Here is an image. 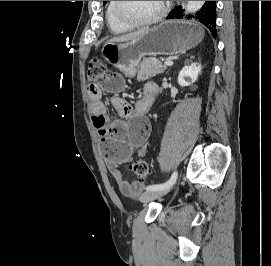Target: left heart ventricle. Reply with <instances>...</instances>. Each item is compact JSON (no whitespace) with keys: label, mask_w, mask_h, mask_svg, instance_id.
I'll list each match as a JSON object with an SVG mask.
<instances>
[{"label":"left heart ventricle","mask_w":271,"mask_h":266,"mask_svg":"<svg viewBox=\"0 0 271 266\" xmlns=\"http://www.w3.org/2000/svg\"><path fill=\"white\" fill-rule=\"evenodd\" d=\"M161 7V1H123V11L133 19L144 20L155 15Z\"/></svg>","instance_id":"left-heart-ventricle-1"}]
</instances>
